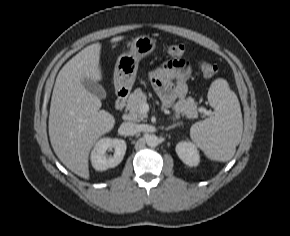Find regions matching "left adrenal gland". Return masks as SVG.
<instances>
[{"label":"left adrenal gland","instance_id":"1","mask_svg":"<svg viewBox=\"0 0 290 236\" xmlns=\"http://www.w3.org/2000/svg\"><path fill=\"white\" fill-rule=\"evenodd\" d=\"M179 125H181V122H178V123H175L173 125H170V126L166 127L165 130H170V129L175 128V127H177Z\"/></svg>","mask_w":290,"mask_h":236}]
</instances>
